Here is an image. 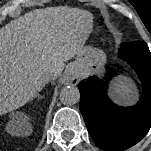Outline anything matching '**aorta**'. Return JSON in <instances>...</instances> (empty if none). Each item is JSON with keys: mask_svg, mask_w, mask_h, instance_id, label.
<instances>
[{"mask_svg": "<svg viewBox=\"0 0 151 151\" xmlns=\"http://www.w3.org/2000/svg\"><path fill=\"white\" fill-rule=\"evenodd\" d=\"M80 92L77 87L66 86L60 92V101L64 105H74L79 102Z\"/></svg>", "mask_w": 151, "mask_h": 151, "instance_id": "762f6f07", "label": "aorta"}]
</instances>
